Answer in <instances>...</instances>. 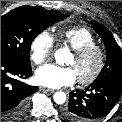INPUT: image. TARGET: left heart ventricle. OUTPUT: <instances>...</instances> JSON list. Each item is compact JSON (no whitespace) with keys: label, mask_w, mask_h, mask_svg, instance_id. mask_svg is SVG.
Wrapping results in <instances>:
<instances>
[{"label":"left heart ventricle","mask_w":122,"mask_h":122,"mask_svg":"<svg viewBox=\"0 0 122 122\" xmlns=\"http://www.w3.org/2000/svg\"><path fill=\"white\" fill-rule=\"evenodd\" d=\"M67 64L74 69L77 77H86L94 71L97 65V56L91 54L85 59L78 61L74 55H71Z\"/></svg>","instance_id":"b2bd125f"}]
</instances>
